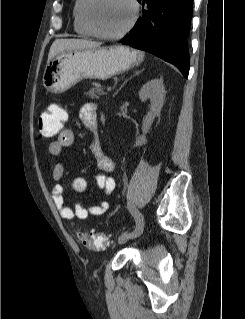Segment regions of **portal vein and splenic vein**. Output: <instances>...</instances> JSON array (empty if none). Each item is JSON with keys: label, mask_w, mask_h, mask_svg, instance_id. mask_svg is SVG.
<instances>
[{"label": "portal vein and splenic vein", "mask_w": 245, "mask_h": 319, "mask_svg": "<svg viewBox=\"0 0 245 319\" xmlns=\"http://www.w3.org/2000/svg\"><path fill=\"white\" fill-rule=\"evenodd\" d=\"M106 91H107L108 93H110V92L112 91V87H107V88H106Z\"/></svg>", "instance_id": "portal-vein-and-splenic-vein-1"}]
</instances>
